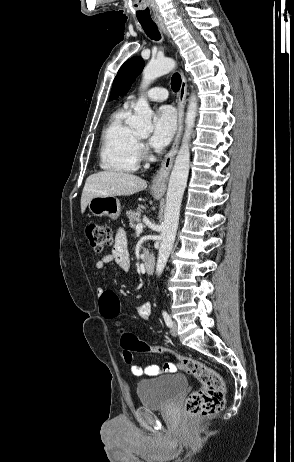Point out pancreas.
<instances>
[{"label": "pancreas", "mask_w": 294, "mask_h": 462, "mask_svg": "<svg viewBox=\"0 0 294 462\" xmlns=\"http://www.w3.org/2000/svg\"><path fill=\"white\" fill-rule=\"evenodd\" d=\"M126 216L129 220V225L131 228H136V225L140 224L141 222L140 211L129 210L128 212H126Z\"/></svg>", "instance_id": "cf45deb5"}]
</instances>
